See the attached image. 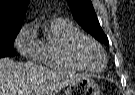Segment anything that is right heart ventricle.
Masks as SVG:
<instances>
[{
  "mask_svg": "<svg viewBox=\"0 0 135 95\" xmlns=\"http://www.w3.org/2000/svg\"><path fill=\"white\" fill-rule=\"evenodd\" d=\"M78 34H81L79 29L67 19L57 18L50 21L45 27L43 39L39 40V62L48 68L81 69L65 53L68 41Z\"/></svg>",
  "mask_w": 135,
  "mask_h": 95,
  "instance_id": "obj_1",
  "label": "right heart ventricle"
}]
</instances>
